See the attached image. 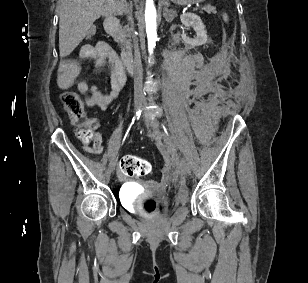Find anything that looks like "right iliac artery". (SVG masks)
Wrapping results in <instances>:
<instances>
[{
	"instance_id": "obj_1",
	"label": "right iliac artery",
	"mask_w": 308,
	"mask_h": 283,
	"mask_svg": "<svg viewBox=\"0 0 308 283\" xmlns=\"http://www.w3.org/2000/svg\"><path fill=\"white\" fill-rule=\"evenodd\" d=\"M140 114H141V110H138V111L136 112V115L133 117L132 122H131V124H130V127L128 128V130H127V132H126V134H125V136H124L123 142H124V140L126 139V137H127V135H128V132H129L131 126L134 124L135 120H136V119H139Z\"/></svg>"
}]
</instances>
